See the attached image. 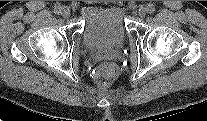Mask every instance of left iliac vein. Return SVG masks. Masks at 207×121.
<instances>
[{"label": "left iliac vein", "mask_w": 207, "mask_h": 121, "mask_svg": "<svg viewBox=\"0 0 207 121\" xmlns=\"http://www.w3.org/2000/svg\"><path fill=\"white\" fill-rule=\"evenodd\" d=\"M146 14H147V8L144 6L140 7L138 10V15L140 17H145Z\"/></svg>", "instance_id": "1"}]
</instances>
